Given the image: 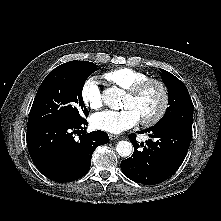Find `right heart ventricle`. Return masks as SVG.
Returning a JSON list of instances; mask_svg holds the SVG:
<instances>
[{"label": "right heart ventricle", "instance_id": "e07e8e85", "mask_svg": "<svg viewBox=\"0 0 221 221\" xmlns=\"http://www.w3.org/2000/svg\"><path fill=\"white\" fill-rule=\"evenodd\" d=\"M149 76L142 71L120 67L104 73L103 78L110 82L113 86L123 90L130 89L136 83L148 78Z\"/></svg>", "mask_w": 221, "mask_h": 221}]
</instances>
